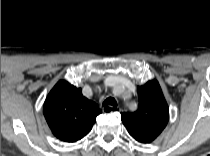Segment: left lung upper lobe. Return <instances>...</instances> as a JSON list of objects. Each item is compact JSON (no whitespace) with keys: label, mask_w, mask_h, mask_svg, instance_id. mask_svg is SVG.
<instances>
[{"label":"left lung upper lobe","mask_w":210,"mask_h":156,"mask_svg":"<svg viewBox=\"0 0 210 156\" xmlns=\"http://www.w3.org/2000/svg\"><path fill=\"white\" fill-rule=\"evenodd\" d=\"M138 98V110L133 113H122L121 119L136 141L151 143L168 123V105L156 80L138 87Z\"/></svg>","instance_id":"5c2ea615"}]
</instances>
